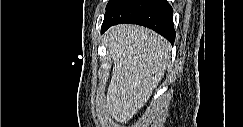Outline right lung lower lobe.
<instances>
[{
	"instance_id": "right-lung-lower-lobe-1",
	"label": "right lung lower lobe",
	"mask_w": 243,
	"mask_h": 127,
	"mask_svg": "<svg viewBox=\"0 0 243 127\" xmlns=\"http://www.w3.org/2000/svg\"><path fill=\"white\" fill-rule=\"evenodd\" d=\"M121 23L148 27L174 43L173 9L167 0H114L106 7L101 32Z\"/></svg>"
}]
</instances>
